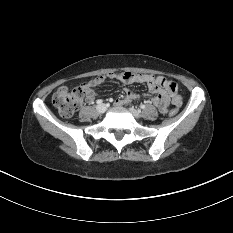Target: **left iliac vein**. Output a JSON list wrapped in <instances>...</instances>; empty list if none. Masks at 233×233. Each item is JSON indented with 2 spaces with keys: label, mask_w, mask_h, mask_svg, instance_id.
<instances>
[{
  "label": "left iliac vein",
  "mask_w": 233,
  "mask_h": 233,
  "mask_svg": "<svg viewBox=\"0 0 233 233\" xmlns=\"http://www.w3.org/2000/svg\"><path fill=\"white\" fill-rule=\"evenodd\" d=\"M130 112L136 118H140L141 117V112L139 110L133 108V107L130 108Z\"/></svg>",
  "instance_id": "1"
}]
</instances>
